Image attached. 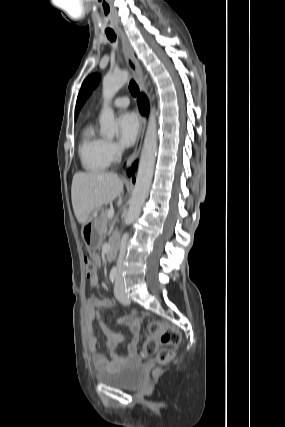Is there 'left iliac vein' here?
<instances>
[{
	"mask_svg": "<svg viewBox=\"0 0 285 427\" xmlns=\"http://www.w3.org/2000/svg\"><path fill=\"white\" fill-rule=\"evenodd\" d=\"M114 293H115V297L116 299L122 303V304H129L130 300L127 297L126 293H125V287H124V282H123V278L121 275H119L117 277L116 280V284H115V289H114Z\"/></svg>",
	"mask_w": 285,
	"mask_h": 427,
	"instance_id": "1",
	"label": "left iliac vein"
}]
</instances>
